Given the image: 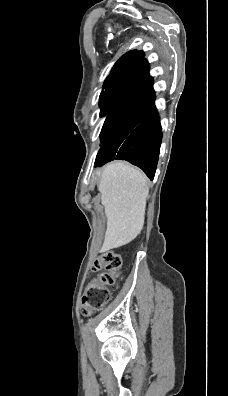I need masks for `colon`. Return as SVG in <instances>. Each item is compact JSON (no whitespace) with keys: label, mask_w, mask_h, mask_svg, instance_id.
Here are the masks:
<instances>
[{"label":"colon","mask_w":228,"mask_h":396,"mask_svg":"<svg viewBox=\"0 0 228 396\" xmlns=\"http://www.w3.org/2000/svg\"><path fill=\"white\" fill-rule=\"evenodd\" d=\"M122 266V258L118 253L105 252L93 263V271H102L87 285L82 297V314L89 316L103 308L110 301V288L115 285Z\"/></svg>","instance_id":"5ec220e1"}]
</instances>
